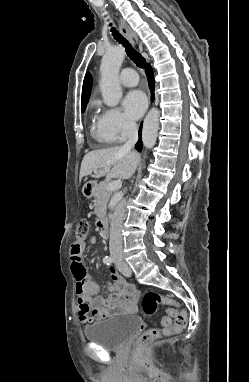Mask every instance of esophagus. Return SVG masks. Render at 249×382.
<instances>
[{
  "label": "esophagus",
  "mask_w": 249,
  "mask_h": 382,
  "mask_svg": "<svg viewBox=\"0 0 249 382\" xmlns=\"http://www.w3.org/2000/svg\"><path fill=\"white\" fill-rule=\"evenodd\" d=\"M119 28L121 33L132 43V45L136 46L137 38L124 20L119 21Z\"/></svg>",
  "instance_id": "34e87169"
}]
</instances>
